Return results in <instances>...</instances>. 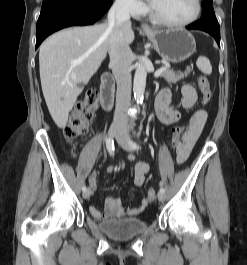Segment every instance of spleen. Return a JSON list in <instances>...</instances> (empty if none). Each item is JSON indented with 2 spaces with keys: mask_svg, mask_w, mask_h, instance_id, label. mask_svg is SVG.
I'll return each instance as SVG.
<instances>
[{
  "mask_svg": "<svg viewBox=\"0 0 247 265\" xmlns=\"http://www.w3.org/2000/svg\"><path fill=\"white\" fill-rule=\"evenodd\" d=\"M197 67L203 72L204 74L210 75L212 73V66L209 59L205 56H200L197 59Z\"/></svg>",
  "mask_w": 247,
  "mask_h": 265,
  "instance_id": "spleen-1",
  "label": "spleen"
}]
</instances>
